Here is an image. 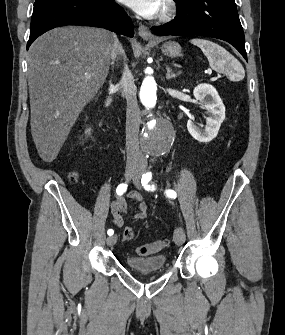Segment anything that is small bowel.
<instances>
[{
  "label": "small bowel",
  "instance_id": "obj_1",
  "mask_svg": "<svg viewBox=\"0 0 285 335\" xmlns=\"http://www.w3.org/2000/svg\"><path fill=\"white\" fill-rule=\"evenodd\" d=\"M128 196L137 206L134 218L138 220H145L148 217V206L143 200L141 194L137 191H132ZM110 210L113 216V223L116 226H122L128 210V204L125 198L117 197L113 199L110 204Z\"/></svg>",
  "mask_w": 285,
  "mask_h": 335
}]
</instances>
